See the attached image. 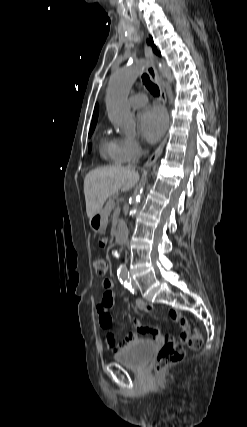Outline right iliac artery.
Returning a JSON list of instances; mask_svg holds the SVG:
<instances>
[{
    "mask_svg": "<svg viewBox=\"0 0 247 427\" xmlns=\"http://www.w3.org/2000/svg\"><path fill=\"white\" fill-rule=\"evenodd\" d=\"M118 278L121 284H123L125 288H127L128 290L134 293V290L132 289V286H131V278L129 274L125 273V274H121L120 276L118 275Z\"/></svg>",
    "mask_w": 247,
    "mask_h": 427,
    "instance_id": "82829eb1",
    "label": "right iliac artery"
}]
</instances>
